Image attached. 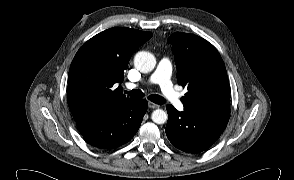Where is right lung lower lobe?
<instances>
[{"instance_id": "obj_1", "label": "right lung lower lobe", "mask_w": 294, "mask_h": 180, "mask_svg": "<svg viewBox=\"0 0 294 180\" xmlns=\"http://www.w3.org/2000/svg\"><path fill=\"white\" fill-rule=\"evenodd\" d=\"M148 102L125 100L112 108L76 121L82 136L91 145L111 149L128 142L138 131Z\"/></svg>"}]
</instances>
